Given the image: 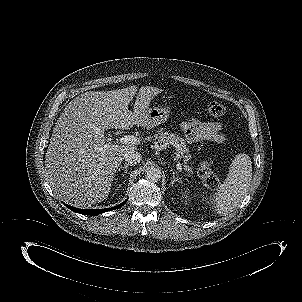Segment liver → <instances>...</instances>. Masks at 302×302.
<instances>
[{"instance_id":"1","label":"liver","mask_w":302,"mask_h":302,"mask_svg":"<svg viewBox=\"0 0 302 302\" xmlns=\"http://www.w3.org/2000/svg\"><path fill=\"white\" fill-rule=\"evenodd\" d=\"M146 92L139 90L133 111L128 105L136 93L134 86L85 92L65 107L53 128L45 156L48 181L65 202L85 207L108 197L124 152L137 150V146L107 143L104 131L146 127L150 99ZM153 92L161 91L154 88Z\"/></svg>"}]
</instances>
